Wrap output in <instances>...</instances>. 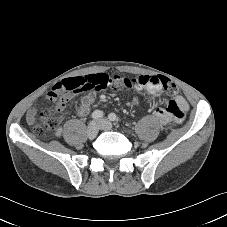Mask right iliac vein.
I'll use <instances>...</instances> for the list:
<instances>
[{
	"mask_svg": "<svg viewBox=\"0 0 227 227\" xmlns=\"http://www.w3.org/2000/svg\"><path fill=\"white\" fill-rule=\"evenodd\" d=\"M99 132V125L96 121L90 122L87 127V135L89 138H94Z\"/></svg>",
	"mask_w": 227,
	"mask_h": 227,
	"instance_id": "obj_1",
	"label": "right iliac vein"
}]
</instances>
